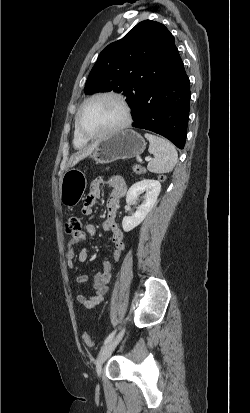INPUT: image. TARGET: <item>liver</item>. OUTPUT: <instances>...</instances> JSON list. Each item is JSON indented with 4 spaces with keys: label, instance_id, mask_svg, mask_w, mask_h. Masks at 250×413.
<instances>
[{
    "label": "liver",
    "instance_id": "obj_1",
    "mask_svg": "<svg viewBox=\"0 0 250 413\" xmlns=\"http://www.w3.org/2000/svg\"><path fill=\"white\" fill-rule=\"evenodd\" d=\"M98 145V141L93 142L88 147L78 151L71 157V166H75L80 160L86 158L87 156L91 155L96 146Z\"/></svg>",
    "mask_w": 250,
    "mask_h": 413
}]
</instances>
